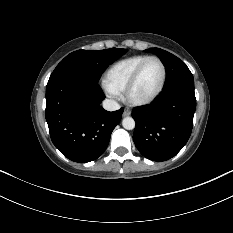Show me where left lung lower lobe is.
<instances>
[{"label":"left lung lower lobe","instance_id":"0a47b994","mask_svg":"<svg viewBox=\"0 0 233 233\" xmlns=\"http://www.w3.org/2000/svg\"><path fill=\"white\" fill-rule=\"evenodd\" d=\"M195 109L194 84L164 88L153 103L133 109L135 146L153 161L172 158L191 135Z\"/></svg>","mask_w":233,"mask_h":233}]
</instances>
